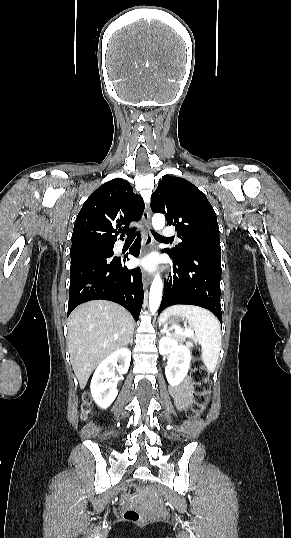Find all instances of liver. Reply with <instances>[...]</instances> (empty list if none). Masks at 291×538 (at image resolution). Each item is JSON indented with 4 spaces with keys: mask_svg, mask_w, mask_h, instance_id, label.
<instances>
[{
    "mask_svg": "<svg viewBox=\"0 0 291 538\" xmlns=\"http://www.w3.org/2000/svg\"><path fill=\"white\" fill-rule=\"evenodd\" d=\"M67 345L80 388L102 360L126 346L134 331V320L122 306L105 300L81 304L67 320Z\"/></svg>",
    "mask_w": 291,
    "mask_h": 538,
    "instance_id": "obj_1",
    "label": "liver"
}]
</instances>
